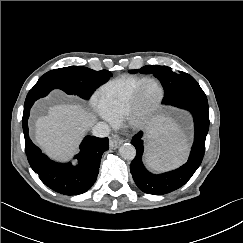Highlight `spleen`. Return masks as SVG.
<instances>
[{
	"label": "spleen",
	"instance_id": "obj_1",
	"mask_svg": "<svg viewBox=\"0 0 243 243\" xmlns=\"http://www.w3.org/2000/svg\"><path fill=\"white\" fill-rule=\"evenodd\" d=\"M147 164L155 170H165L183 163L188 143L178 128L164 117L156 119L149 128Z\"/></svg>",
	"mask_w": 243,
	"mask_h": 243
}]
</instances>
